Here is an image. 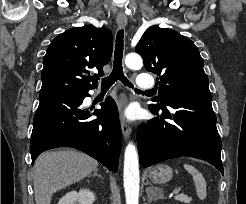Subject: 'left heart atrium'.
Listing matches in <instances>:
<instances>
[{"instance_id":"left-heart-atrium-1","label":"left heart atrium","mask_w":246,"mask_h":204,"mask_svg":"<svg viewBox=\"0 0 246 204\" xmlns=\"http://www.w3.org/2000/svg\"><path fill=\"white\" fill-rule=\"evenodd\" d=\"M126 116H127L128 118H134L135 113H134V111H132V110H128V111L126 112Z\"/></svg>"}]
</instances>
